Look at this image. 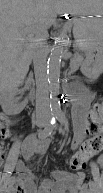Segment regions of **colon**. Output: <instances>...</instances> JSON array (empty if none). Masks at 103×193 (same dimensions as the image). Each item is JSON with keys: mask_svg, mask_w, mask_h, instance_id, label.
Wrapping results in <instances>:
<instances>
[{"mask_svg": "<svg viewBox=\"0 0 103 193\" xmlns=\"http://www.w3.org/2000/svg\"><path fill=\"white\" fill-rule=\"evenodd\" d=\"M103 114V105L96 103L89 116V126L87 133L90 135L89 140L83 145L82 149L77 152L70 161L73 170H82L86 167V160L89 154L99 153L103 146V134L101 130V119ZM11 131L7 126L1 129L3 138H10Z\"/></svg>", "mask_w": 103, "mask_h": 193, "instance_id": "1", "label": "colon"}]
</instances>
